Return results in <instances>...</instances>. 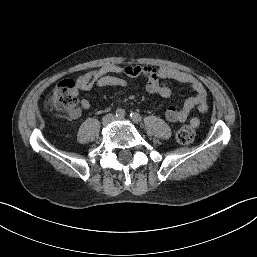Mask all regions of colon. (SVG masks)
Returning <instances> with one entry per match:
<instances>
[{"instance_id":"1","label":"colon","mask_w":257,"mask_h":257,"mask_svg":"<svg viewBox=\"0 0 257 257\" xmlns=\"http://www.w3.org/2000/svg\"><path fill=\"white\" fill-rule=\"evenodd\" d=\"M76 84L73 80L61 81L49 97V103L52 108L62 112H75L78 107V99L76 93ZM196 130L193 125H185L181 127L175 139L179 144H190L193 142Z\"/></svg>"}]
</instances>
